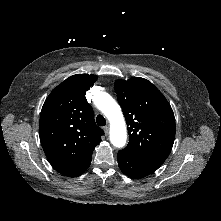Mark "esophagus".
<instances>
[{
	"label": "esophagus",
	"instance_id": "34e87169",
	"mask_svg": "<svg viewBox=\"0 0 221 221\" xmlns=\"http://www.w3.org/2000/svg\"><path fill=\"white\" fill-rule=\"evenodd\" d=\"M104 132H105L106 135L109 133V125H106L104 127Z\"/></svg>",
	"mask_w": 221,
	"mask_h": 221
}]
</instances>
